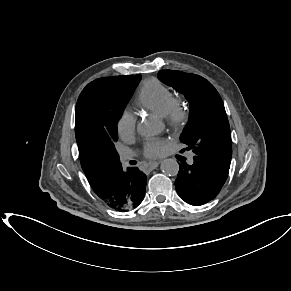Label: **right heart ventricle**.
I'll use <instances>...</instances> for the list:
<instances>
[{"mask_svg": "<svg viewBox=\"0 0 291 291\" xmlns=\"http://www.w3.org/2000/svg\"><path fill=\"white\" fill-rule=\"evenodd\" d=\"M176 98L169 87L155 78L144 81L138 91L136 105L163 117L173 106Z\"/></svg>", "mask_w": 291, "mask_h": 291, "instance_id": "obj_1", "label": "right heart ventricle"}]
</instances>
